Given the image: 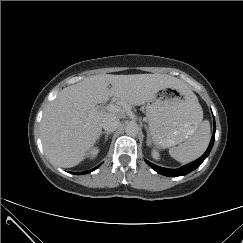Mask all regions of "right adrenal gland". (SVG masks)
Returning <instances> with one entry per match:
<instances>
[{
	"label": "right adrenal gland",
	"mask_w": 243,
	"mask_h": 243,
	"mask_svg": "<svg viewBox=\"0 0 243 243\" xmlns=\"http://www.w3.org/2000/svg\"><path fill=\"white\" fill-rule=\"evenodd\" d=\"M112 134V132H101L98 141L101 139L102 135H105V142L108 140V136Z\"/></svg>",
	"instance_id": "1"
}]
</instances>
